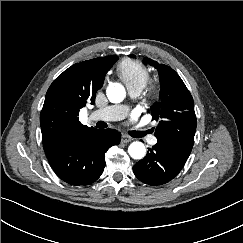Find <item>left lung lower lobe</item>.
Listing matches in <instances>:
<instances>
[{
	"label": "left lung lower lobe",
	"instance_id": "0a47b994",
	"mask_svg": "<svg viewBox=\"0 0 243 243\" xmlns=\"http://www.w3.org/2000/svg\"><path fill=\"white\" fill-rule=\"evenodd\" d=\"M189 156L164 144L157 143L133 166L135 176L148 185H163L174 179Z\"/></svg>",
	"mask_w": 243,
	"mask_h": 243
}]
</instances>
